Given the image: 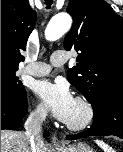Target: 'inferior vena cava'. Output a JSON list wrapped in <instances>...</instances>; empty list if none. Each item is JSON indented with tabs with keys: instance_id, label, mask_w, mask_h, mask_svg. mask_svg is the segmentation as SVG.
Wrapping results in <instances>:
<instances>
[{
	"instance_id": "obj_1",
	"label": "inferior vena cava",
	"mask_w": 123,
	"mask_h": 152,
	"mask_svg": "<svg viewBox=\"0 0 123 152\" xmlns=\"http://www.w3.org/2000/svg\"><path fill=\"white\" fill-rule=\"evenodd\" d=\"M46 111H35L30 113L24 123L25 135L30 143V152H37V143H42V123L46 118Z\"/></svg>"
}]
</instances>
